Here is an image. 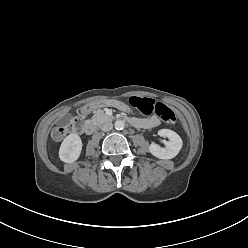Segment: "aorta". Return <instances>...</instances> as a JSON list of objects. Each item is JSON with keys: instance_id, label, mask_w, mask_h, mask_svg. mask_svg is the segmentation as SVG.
Wrapping results in <instances>:
<instances>
[{"instance_id": "762f6f07", "label": "aorta", "mask_w": 248, "mask_h": 248, "mask_svg": "<svg viewBox=\"0 0 248 248\" xmlns=\"http://www.w3.org/2000/svg\"><path fill=\"white\" fill-rule=\"evenodd\" d=\"M114 125H115V129H117V130H123L125 127V123L122 120L115 121Z\"/></svg>"}]
</instances>
